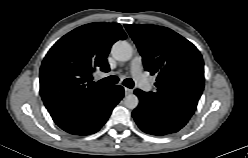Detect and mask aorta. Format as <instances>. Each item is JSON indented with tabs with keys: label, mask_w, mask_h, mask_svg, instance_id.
Returning <instances> with one entry per match:
<instances>
[{
	"label": "aorta",
	"mask_w": 248,
	"mask_h": 158,
	"mask_svg": "<svg viewBox=\"0 0 248 158\" xmlns=\"http://www.w3.org/2000/svg\"><path fill=\"white\" fill-rule=\"evenodd\" d=\"M111 54L114 59L125 62L130 60L132 57V47L128 42L119 40L113 44L111 49ZM138 104H139V99L136 95L129 94L125 96L124 105L128 109L133 110L138 106Z\"/></svg>",
	"instance_id": "obj_1"
}]
</instances>
